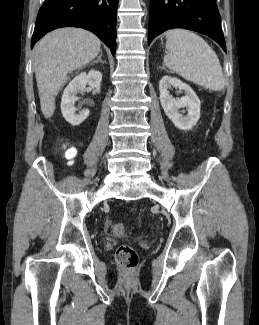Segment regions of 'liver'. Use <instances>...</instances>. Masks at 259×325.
Here are the masks:
<instances>
[{
    "label": "liver",
    "mask_w": 259,
    "mask_h": 325,
    "mask_svg": "<svg viewBox=\"0 0 259 325\" xmlns=\"http://www.w3.org/2000/svg\"><path fill=\"white\" fill-rule=\"evenodd\" d=\"M101 42L80 28H61L43 37L35 46L34 70L41 111L49 118L55 111V97L67 75L97 57Z\"/></svg>",
    "instance_id": "liver-1"
}]
</instances>
